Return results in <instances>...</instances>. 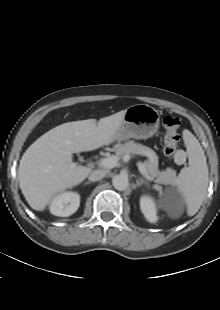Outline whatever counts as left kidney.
I'll return each instance as SVG.
<instances>
[{"instance_id": "5707ae66", "label": "left kidney", "mask_w": 220, "mask_h": 310, "mask_svg": "<svg viewBox=\"0 0 220 310\" xmlns=\"http://www.w3.org/2000/svg\"><path fill=\"white\" fill-rule=\"evenodd\" d=\"M140 208L145 218L151 222L155 223L157 221V209L156 204L153 199L149 196H142L140 199Z\"/></svg>"}]
</instances>
